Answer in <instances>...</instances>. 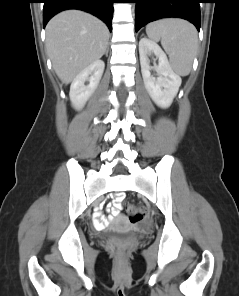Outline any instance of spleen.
Listing matches in <instances>:
<instances>
[{"label": "spleen", "mask_w": 239, "mask_h": 296, "mask_svg": "<svg viewBox=\"0 0 239 296\" xmlns=\"http://www.w3.org/2000/svg\"><path fill=\"white\" fill-rule=\"evenodd\" d=\"M148 37L161 44L169 55L172 69L180 76H187L198 50L195 27L181 19H162L146 26Z\"/></svg>", "instance_id": "3e777b00"}]
</instances>
